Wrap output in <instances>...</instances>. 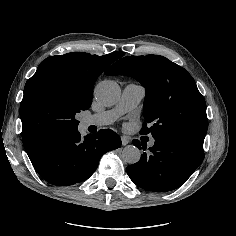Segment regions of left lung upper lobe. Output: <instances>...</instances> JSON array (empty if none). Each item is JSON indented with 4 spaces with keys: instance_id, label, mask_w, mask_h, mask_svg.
I'll list each match as a JSON object with an SVG mask.
<instances>
[{
    "instance_id": "obj_1",
    "label": "left lung upper lobe",
    "mask_w": 236,
    "mask_h": 236,
    "mask_svg": "<svg viewBox=\"0 0 236 236\" xmlns=\"http://www.w3.org/2000/svg\"><path fill=\"white\" fill-rule=\"evenodd\" d=\"M105 74L130 76L145 87L146 122L141 134H167L203 146L208 129L206 103L184 68L159 55L127 56Z\"/></svg>"
}]
</instances>
